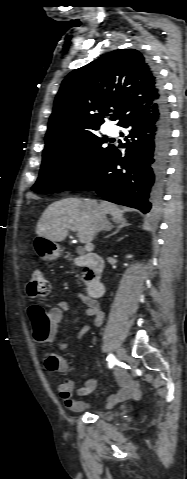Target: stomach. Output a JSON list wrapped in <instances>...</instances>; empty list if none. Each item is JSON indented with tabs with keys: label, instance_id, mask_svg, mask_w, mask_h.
Instances as JSON below:
<instances>
[{
	"label": "stomach",
	"instance_id": "1",
	"mask_svg": "<svg viewBox=\"0 0 187 479\" xmlns=\"http://www.w3.org/2000/svg\"><path fill=\"white\" fill-rule=\"evenodd\" d=\"M33 247L37 255L46 261L57 259L61 253L59 244L42 236L35 237Z\"/></svg>",
	"mask_w": 187,
	"mask_h": 479
}]
</instances>
